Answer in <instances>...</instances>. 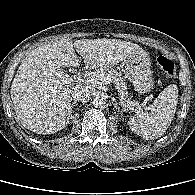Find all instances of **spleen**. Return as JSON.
Here are the masks:
<instances>
[{
	"instance_id": "spleen-1",
	"label": "spleen",
	"mask_w": 195,
	"mask_h": 195,
	"mask_svg": "<svg viewBox=\"0 0 195 195\" xmlns=\"http://www.w3.org/2000/svg\"><path fill=\"white\" fill-rule=\"evenodd\" d=\"M178 102V88L175 84L167 86L153 104L149 112L138 111L128 121L129 128L146 140L162 136L173 120Z\"/></svg>"
}]
</instances>
